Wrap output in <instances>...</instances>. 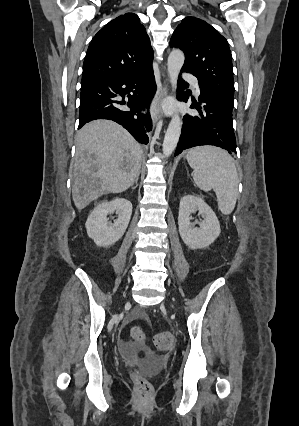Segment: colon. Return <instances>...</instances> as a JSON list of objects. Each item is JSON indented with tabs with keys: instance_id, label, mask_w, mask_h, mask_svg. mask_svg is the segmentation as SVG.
<instances>
[{
	"instance_id": "1",
	"label": "colon",
	"mask_w": 299,
	"mask_h": 426,
	"mask_svg": "<svg viewBox=\"0 0 299 426\" xmlns=\"http://www.w3.org/2000/svg\"><path fill=\"white\" fill-rule=\"evenodd\" d=\"M131 334L136 341H143L145 338L142 330L138 327L132 328ZM154 343L160 349H169L174 344V337L169 332H162L154 337ZM132 380L137 398L141 401L148 400L153 393V387L149 380L139 372L132 373Z\"/></svg>"
}]
</instances>
